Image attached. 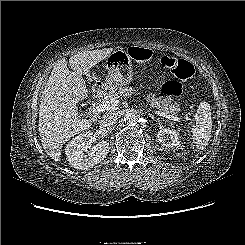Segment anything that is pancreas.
Wrapping results in <instances>:
<instances>
[{
	"instance_id": "cf45deb5",
	"label": "pancreas",
	"mask_w": 245,
	"mask_h": 245,
	"mask_svg": "<svg viewBox=\"0 0 245 245\" xmlns=\"http://www.w3.org/2000/svg\"><path fill=\"white\" fill-rule=\"evenodd\" d=\"M133 89L127 87H121L117 91H109L105 95V100L118 99L121 96H128L132 94ZM147 103L153 107L162 111L164 113L169 114L171 110V105L168 101L163 100L161 97H156L154 94H149L146 98Z\"/></svg>"
}]
</instances>
